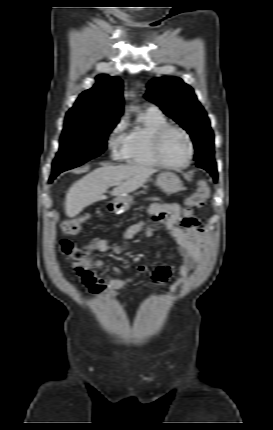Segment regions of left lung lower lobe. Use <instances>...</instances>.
Listing matches in <instances>:
<instances>
[{
    "label": "left lung lower lobe",
    "instance_id": "0a47b994",
    "mask_svg": "<svg viewBox=\"0 0 273 430\" xmlns=\"http://www.w3.org/2000/svg\"><path fill=\"white\" fill-rule=\"evenodd\" d=\"M197 167L207 170L213 176L215 181L218 180L216 162L214 158L197 162Z\"/></svg>",
    "mask_w": 273,
    "mask_h": 430
}]
</instances>
